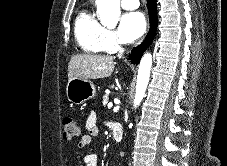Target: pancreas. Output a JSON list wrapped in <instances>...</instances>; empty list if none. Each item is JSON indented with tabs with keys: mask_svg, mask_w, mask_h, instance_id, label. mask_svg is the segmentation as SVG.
<instances>
[{
	"mask_svg": "<svg viewBox=\"0 0 227 166\" xmlns=\"http://www.w3.org/2000/svg\"><path fill=\"white\" fill-rule=\"evenodd\" d=\"M108 101H109V96L106 94L103 96V101H102L103 106H105L108 103Z\"/></svg>",
	"mask_w": 227,
	"mask_h": 166,
	"instance_id": "obj_1",
	"label": "pancreas"
}]
</instances>
